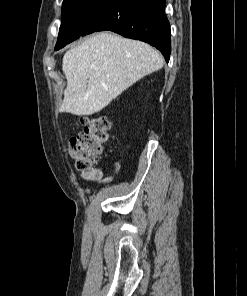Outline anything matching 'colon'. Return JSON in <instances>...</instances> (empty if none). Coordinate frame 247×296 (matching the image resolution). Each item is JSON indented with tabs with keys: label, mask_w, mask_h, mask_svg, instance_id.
Masks as SVG:
<instances>
[{
	"label": "colon",
	"mask_w": 247,
	"mask_h": 296,
	"mask_svg": "<svg viewBox=\"0 0 247 296\" xmlns=\"http://www.w3.org/2000/svg\"><path fill=\"white\" fill-rule=\"evenodd\" d=\"M109 127V121L104 117L85 118L81 133L71 139L70 154L75 160L76 168L86 180L100 177L96 165L109 141Z\"/></svg>",
	"instance_id": "colon-1"
}]
</instances>
